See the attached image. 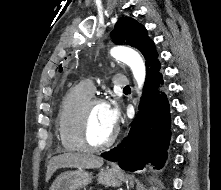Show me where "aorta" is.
I'll return each mask as SVG.
<instances>
[{"label": "aorta", "instance_id": "762f6f07", "mask_svg": "<svg viewBox=\"0 0 221 190\" xmlns=\"http://www.w3.org/2000/svg\"><path fill=\"white\" fill-rule=\"evenodd\" d=\"M110 54L112 57L124 62L131 68L138 87L141 89L144 84L146 70L145 63L140 55L133 49L125 46H116L112 48Z\"/></svg>", "mask_w": 221, "mask_h": 190}]
</instances>
